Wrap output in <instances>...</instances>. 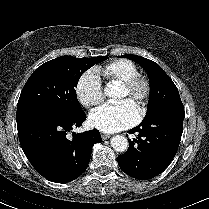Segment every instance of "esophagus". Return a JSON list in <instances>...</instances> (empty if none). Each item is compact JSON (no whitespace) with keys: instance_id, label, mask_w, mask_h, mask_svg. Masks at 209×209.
Listing matches in <instances>:
<instances>
[{"instance_id":"1","label":"esophagus","mask_w":209,"mask_h":209,"mask_svg":"<svg viewBox=\"0 0 209 209\" xmlns=\"http://www.w3.org/2000/svg\"><path fill=\"white\" fill-rule=\"evenodd\" d=\"M110 137H111V136L108 135V134L101 133V138H102L103 140L109 139Z\"/></svg>"}]
</instances>
